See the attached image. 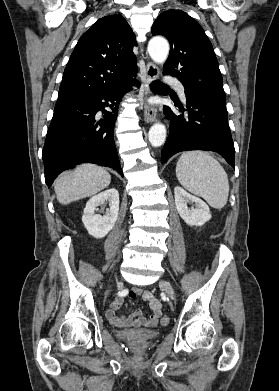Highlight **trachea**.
<instances>
[{
    "mask_svg": "<svg viewBox=\"0 0 279 391\" xmlns=\"http://www.w3.org/2000/svg\"><path fill=\"white\" fill-rule=\"evenodd\" d=\"M150 88L151 90H160V89H169V86H167L166 84L158 80H155L150 84Z\"/></svg>",
    "mask_w": 279,
    "mask_h": 391,
    "instance_id": "trachea-1",
    "label": "trachea"
}]
</instances>
